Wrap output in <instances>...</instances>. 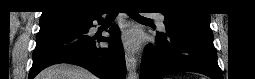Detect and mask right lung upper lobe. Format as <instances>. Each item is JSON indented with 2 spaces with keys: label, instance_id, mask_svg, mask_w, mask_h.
I'll list each match as a JSON object with an SVG mask.
<instances>
[{
  "label": "right lung upper lobe",
  "instance_id": "1",
  "mask_svg": "<svg viewBox=\"0 0 255 79\" xmlns=\"http://www.w3.org/2000/svg\"><path fill=\"white\" fill-rule=\"evenodd\" d=\"M62 13H73L81 20L101 15V9L86 0H48L41 18Z\"/></svg>",
  "mask_w": 255,
  "mask_h": 79
}]
</instances>
